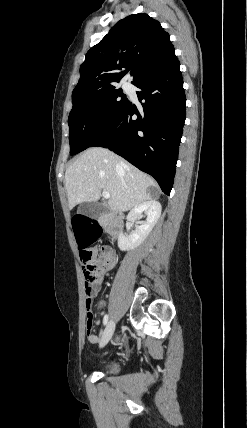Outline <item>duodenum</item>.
<instances>
[{"mask_svg": "<svg viewBox=\"0 0 247 428\" xmlns=\"http://www.w3.org/2000/svg\"><path fill=\"white\" fill-rule=\"evenodd\" d=\"M105 224L109 233L114 239H117L122 231L123 221L120 215L110 212L104 217Z\"/></svg>", "mask_w": 247, "mask_h": 428, "instance_id": "410a0bca", "label": "duodenum"}]
</instances>
